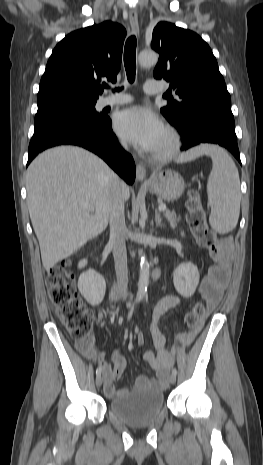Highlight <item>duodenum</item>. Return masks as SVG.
<instances>
[{
    "label": "duodenum",
    "mask_w": 263,
    "mask_h": 465,
    "mask_svg": "<svg viewBox=\"0 0 263 465\" xmlns=\"http://www.w3.org/2000/svg\"><path fill=\"white\" fill-rule=\"evenodd\" d=\"M91 257L92 259L96 262V263H100V257L97 253H95L94 251L91 252ZM160 275V268H155L153 271H152V278L153 279H156L158 276ZM123 294V291L122 289L116 287L114 290H113V295L114 296H121Z\"/></svg>",
    "instance_id": "1"
}]
</instances>
